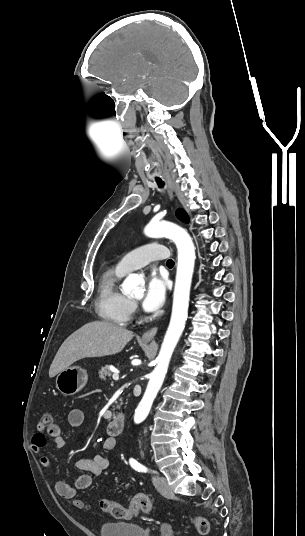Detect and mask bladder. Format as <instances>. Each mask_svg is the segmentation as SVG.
Instances as JSON below:
<instances>
[{
	"label": "bladder",
	"mask_w": 305,
	"mask_h": 536,
	"mask_svg": "<svg viewBox=\"0 0 305 536\" xmlns=\"http://www.w3.org/2000/svg\"><path fill=\"white\" fill-rule=\"evenodd\" d=\"M100 536H151L149 530L132 520L102 522L99 525Z\"/></svg>",
	"instance_id": "1"
}]
</instances>
